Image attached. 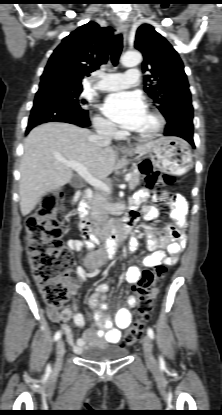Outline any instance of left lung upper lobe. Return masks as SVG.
<instances>
[{
  "instance_id": "left-lung-upper-lobe-1",
  "label": "left lung upper lobe",
  "mask_w": 222,
  "mask_h": 415,
  "mask_svg": "<svg viewBox=\"0 0 222 415\" xmlns=\"http://www.w3.org/2000/svg\"><path fill=\"white\" fill-rule=\"evenodd\" d=\"M135 48L143 54V72H149L144 77L145 92L167 122L179 119L183 111L192 108V105L187 76L178 53L149 24L138 28Z\"/></svg>"
}]
</instances>
